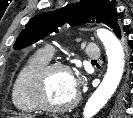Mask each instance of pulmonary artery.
I'll use <instances>...</instances> for the list:
<instances>
[{
	"label": "pulmonary artery",
	"mask_w": 133,
	"mask_h": 118,
	"mask_svg": "<svg viewBox=\"0 0 133 118\" xmlns=\"http://www.w3.org/2000/svg\"><path fill=\"white\" fill-rule=\"evenodd\" d=\"M45 51L52 56V49L50 47L46 48ZM86 54L90 59H98L100 57V51L95 45H88Z\"/></svg>",
	"instance_id": "e3ab8cb5"
}]
</instances>
